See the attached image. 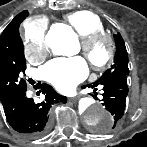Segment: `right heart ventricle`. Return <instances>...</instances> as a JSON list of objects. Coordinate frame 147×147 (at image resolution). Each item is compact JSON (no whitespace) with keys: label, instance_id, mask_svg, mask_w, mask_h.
<instances>
[{"label":"right heart ventricle","instance_id":"right-heart-ventricle-1","mask_svg":"<svg viewBox=\"0 0 147 147\" xmlns=\"http://www.w3.org/2000/svg\"><path fill=\"white\" fill-rule=\"evenodd\" d=\"M66 21L81 38L104 30L100 17L90 11H77L66 16Z\"/></svg>","mask_w":147,"mask_h":147}]
</instances>
